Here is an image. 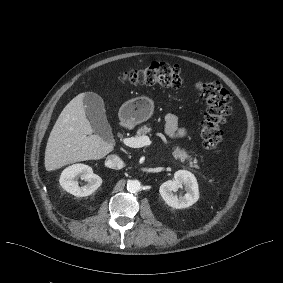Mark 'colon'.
<instances>
[{"label": "colon", "mask_w": 283, "mask_h": 283, "mask_svg": "<svg viewBox=\"0 0 283 283\" xmlns=\"http://www.w3.org/2000/svg\"><path fill=\"white\" fill-rule=\"evenodd\" d=\"M122 81L133 85L179 88L183 79L178 66L153 62L143 69L126 71ZM196 89L206 102V111L201 122L200 137L205 148L218 152L223 141L222 126L230 114L231 95L220 82L203 80Z\"/></svg>", "instance_id": "1"}]
</instances>
